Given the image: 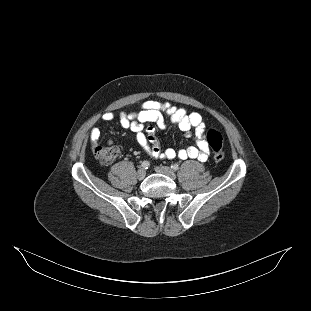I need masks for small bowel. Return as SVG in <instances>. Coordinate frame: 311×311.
Wrapping results in <instances>:
<instances>
[{"instance_id":"obj_1","label":"small bowel","mask_w":311,"mask_h":311,"mask_svg":"<svg viewBox=\"0 0 311 311\" xmlns=\"http://www.w3.org/2000/svg\"><path fill=\"white\" fill-rule=\"evenodd\" d=\"M114 118L113 113L102 115V120L109 122ZM121 125L131 130L140 147L152 158L160 159H198L202 162L209 157V145L205 139V123L198 112H188L184 108L176 107L169 102L145 101L136 113H121ZM148 123H155L158 128L164 129L168 123L176 125L186 137L193 136L195 145L184 149H161L156 136L155 128L146 127ZM101 136V131L94 126L90 131V142L96 147Z\"/></svg>"}]
</instances>
